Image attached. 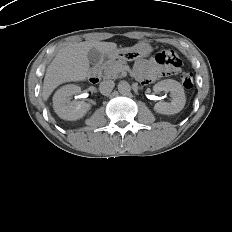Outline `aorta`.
Returning <instances> with one entry per match:
<instances>
[{
  "mask_svg": "<svg viewBox=\"0 0 232 232\" xmlns=\"http://www.w3.org/2000/svg\"><path fill=\"white\" fill-rule=\"evenodd\" d=\"M131 90V86L127 81H120L118 84V91L121 94H126L128 92H130Z\"/></svg>",
  "mask_w": 232,
  "mask_h": 232,
  "instance_id": "obj_1",
  "label": "aorta"
}]
</instances>
